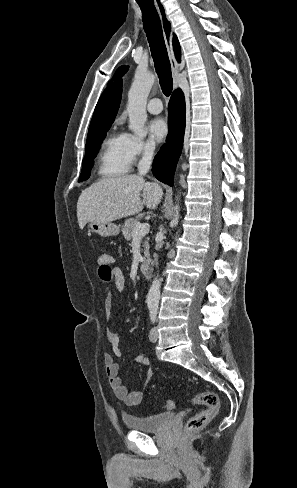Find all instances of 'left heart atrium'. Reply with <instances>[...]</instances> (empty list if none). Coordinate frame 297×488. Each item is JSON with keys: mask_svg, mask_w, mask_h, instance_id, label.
Here are the masks:
<instances>
[{"mask_svg": "<svg viewBox=\"0 0 297 488\" xmlns=\"http://www.w3.org/2000/svg\"><path fill=\"white\" fill-rule=\"evenodd\" d=\"M149 131L155 141L161 142L168 134V127L164 119L156 118L150 122Z\"/></svg>", "mask_w": 297, "mask_h": 488, "instance_id": "obj_1", "label": "left heart atrium"}]
</instances>
